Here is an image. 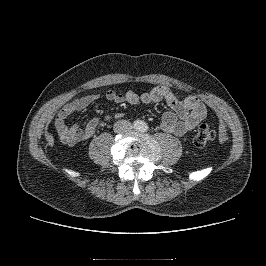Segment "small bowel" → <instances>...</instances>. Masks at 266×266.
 Listing matches in <instances>:
<instances>
[{
  "label": "small bowel",
  "instance_id": "c3829d8e",
  "mask_svg": "<svg viewBox=\"0 0 266 266\" xmlns=\"http://www.w3.org/2000/svg\"><path fill=\"white\" fill-rule=\"evenodd\" d=\"M107 100L116 104H150L165 101L170 110L165 111L161 116V128L167 132L181 137L192 131L207 116L205 105L195 96L180 97L177 93L166 86H157L148 92L138 94L133 91L125 93L108 90L105 93ZM101 98L99 91L93 90L84 96L74 99L63 106L55 119V129L60 140L73 146L89 140L96 132L99 125L118 119L123 116L121 112L114 115H105L100 118L93 116L84 127L78 124H68V118Z\"/></svg>",
  "mask_w": 266,
  "mask_h": 266
}]
</instances>
